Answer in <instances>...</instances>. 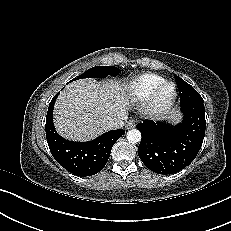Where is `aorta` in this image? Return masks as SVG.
<instances>
[{
    "label": "aorta",
    "mask_w": 231,
    "mask_h": 231,
    "mask_svg": "<svg viewBox=\"0 0 231 231\" xmlns=\"http://www.w3.org/2000/svg\"><path fill=\"white\" fill-rule=\"evenodd\" d=\"M127 140L131 144H136L141 141V133L137 129H131L127 132Z\"/></svg>",
    "instance_id": "762f6f07"
}]
</instances>
